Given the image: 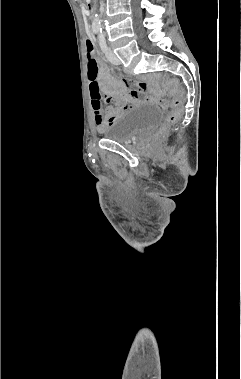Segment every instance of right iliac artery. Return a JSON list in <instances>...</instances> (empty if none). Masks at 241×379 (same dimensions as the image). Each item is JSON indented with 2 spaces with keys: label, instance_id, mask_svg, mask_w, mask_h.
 <instances>
[{
  "label": "right iliac artery",
  "instance_id": "right-iliac-artery-1",
  "mask_svg": "<svg viewBox=\"0 0 241 379\" xmlns=\"http://www.w3.org/2000/svg\"><path fill=\"white\" fill-rule=\"evenodd\" d=\"M93 31H94V33H98L99 29L98 28H94Z\"/></svg>",
  "mask_w": 241,
  "mask_h": 379
}]
</instances>
